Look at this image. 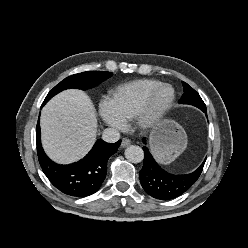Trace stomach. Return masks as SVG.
<instances>
[{
    "label": "stomach",
    "instance_id": "0dacf381",
    "mask_svg": "<svg viewBox=\"0 0 248 248\" xmlns=\"http://www.w3.org/2000/svg\"><path fill=\"white\" fill-rule=\"evenodd\" d=\"M187 134L183 127L173 120H163L151 131L149 144L156 160L170 164L187 147Z\"/></svg>",
    "mask_w": 248,
    "mask_h": 248
}]
</instances>
